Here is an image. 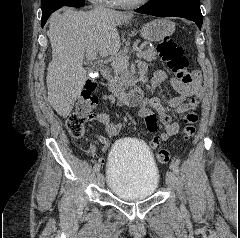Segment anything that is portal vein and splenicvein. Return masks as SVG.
<instances>
[{
	"mask_svg": "<svg viewBox=\"0 0 240 238\" xmlns=\"http://www.w3.org/2000/svg\"><path fill=\"white\" fill-rule=\"evenodd\" d=\"M136 51H137V53H136L137 57H138V58H141V52H140V51H141V48H137ZM96 56H97V54L94 53L93 51H88V52H87V59H88V60H93V59L96 58ZM128 60H129V56L126 55L125 58H123V59H120V58H119V59L116 60V62L122 63V62H128Z\"/></svg>",
	"mask_w": 240,
	"mask_h": 238,
	"instance_id": "1",
	"label": "portal vein and splenic vein"
}]
</instances>
